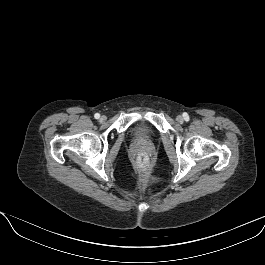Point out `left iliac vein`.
<instances>
[{
	"label": "left iliac vein",
	"mask_w": 265,
	"mask_h": 265,
	"mask_svg": "<svg viewBox=\"0 0 265 265\" xmlns=\"http://www.w3.org/2000/svg\"><path fill=\"white\" fill-rule=\"evenodd\" d=\"M176 120H177V122H179V123H183V121H184V119H183V117H182L181 115H178V116L176 117Z\"/></svg>",
	"instance_id": "4c4485c4"
}]
</instances>
